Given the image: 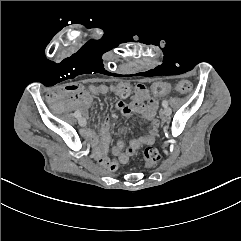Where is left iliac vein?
Instances as JSON below:
<instances>
[{
  "label": "left iliac vein",
  "instance_id": "obj_1",
  "mask_svg": "<svg viewBox=\"0 0 241 241\" xmlns=\"http://www.w3.org/2000/svg\"><path fill=\"white\" fill-rule=\"evenodd\" d=\"M170 114H171V110H170L169 107H165V108L163 109V111L161 112V116H162L163 119H165V118H167L168 116H170Z\"/></svg>",
  "mask_w": 241,
  "mask_h": 241
}]
</instances>
